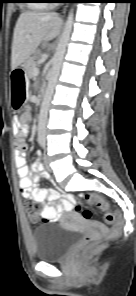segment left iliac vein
<instances>
[{"mask_svg": "<svg viewBox=\"0 0 136 296\" xmlns=\"http://www.w3.org/2000/svg\"><path fill=\"white\" fill-rule=\"evenodd\" d=\"M44 164H45L46 168L51 171V167L49 165V160H48L47 155H44Z\"/></svg>", "mask_w": 136, "mask_h": 296, "instance_id": "left-iliac-vein-1", "label": "left iliac vein"}]
</instances>
